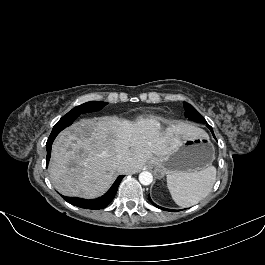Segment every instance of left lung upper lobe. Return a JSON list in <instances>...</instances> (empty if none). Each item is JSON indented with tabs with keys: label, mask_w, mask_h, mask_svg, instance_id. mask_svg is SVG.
Returning <instances> with one entry per match:
<instances>
[{
	"label": "left lung upper lobe",
	"mask_w": 265,
	"mask_h": 265,
	"mask_svg": "<svg viewBox=\"0 0 265 265\" xmlns=\"http://www.w3.org/2000/svg\"><path fill=\"white\" fill-rule=\"evenodd\" d=\"M184 107H185V117L195 121V122H201L205 123L206 120L204 117L190 104L184 102Z\"/></svg>",
	"instance_id": "left-lung-upper-lobe-1"
}]
</instances>
